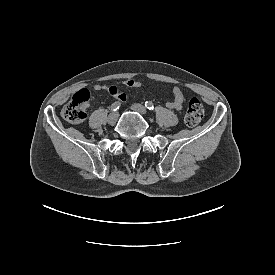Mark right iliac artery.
Returning a JSON list of instances; mask_svg holds the SVG:
<instances>
[{"label": "right iliac artery", "instance_id": "right-iliac-artery-1", "mask_svg": "<svg viewBox=\"0 0 275 275\" xmlns=\"http://www.w3.org/2000/svg\"><path fill=\"white\" fill-rule=\"evenodd\" d=\"M121 103L120 102H114L112 105H111V111H117L120 107Z\"/></svg>", "mask_w": 275, "mask_h": 275}]
</instances>
